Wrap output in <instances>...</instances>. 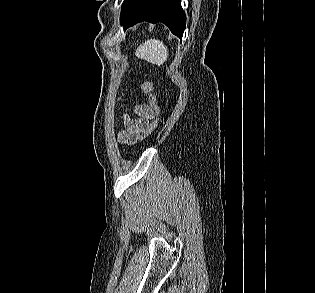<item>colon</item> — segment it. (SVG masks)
<instances>
[{"instance_id":"5ec220e1","label":"colon","mask_w":315,"mask_h":293,"mask_svg":"<svg viewBox=\"0 0 315 293\" xmlns=\"http://www.w3.org/2000/svg\"><path fill=\"white\" fill-rule=\"evenodd\" d=\"M142 90L148 97L152 116V118H149L148 120L149 125L145 131V135H149L150 133H152L155 127H159L160 125L158 118H156L159 114V107L157 106L156 97L154 94V84L151 80H146L143 82Z\"/></svg>"}]
</instances>
